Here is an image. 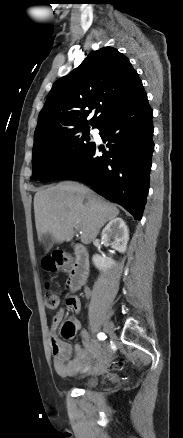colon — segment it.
Returning <instances> with one entry per match:
<instances>
[{
	"instance_id": "5ec220e1",
	"label": "colon",
	"mask_w": 183,
	"mask_h": 438,
	"mask_svg": "<svg viewBox=\"0 0 183 438\" xmlns=\"http://www.w3.org/2000/svg\"><path fill=\"white\" fill-rule=\"evenodd\" d=\"M68 261L69 256L67 254L63 252H57L43 260V268L49 272H55L63 268L68 263ZM59 303V296L55 292L47 290L44 295L45 308L48 311H53L57 309ZM61 332L65 338H72L76 333V328L72 322L67 321L62 326ZM114 365L116 367H121L123 365V362L117 361Z\"/></svg>"
}]
</instances>
